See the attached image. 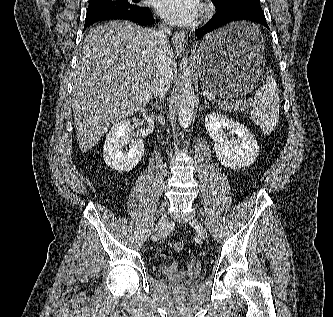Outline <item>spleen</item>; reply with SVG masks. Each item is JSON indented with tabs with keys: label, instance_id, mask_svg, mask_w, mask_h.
<instances>
[{
	"label": "spleen",
	"instance_id": "3e777b00",
	"mask_svg": "<svg viewBox=\"0 0 333 317\" xmlns=\"http://www.w3.org/2000/svg\"><path fill=\"white\" fill-rule=\"evenodd\" d=\"M254 102L250 116L263 133L269 135L278 123L280 111L279 91L272 75H268L263 86L256 91Z\"/></svg>",
	"mask_w": 333,
	"mask_h": 317
}]
</instances>
